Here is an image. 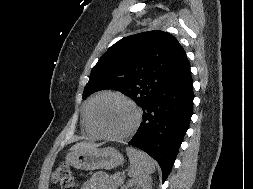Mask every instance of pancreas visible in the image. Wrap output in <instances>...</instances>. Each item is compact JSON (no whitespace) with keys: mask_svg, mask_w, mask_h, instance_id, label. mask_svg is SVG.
Wrapping results in <instances>:
<instances>
[{"mask_svg":"<svg viewBox=\"0 0 253 189\" xmlns=\"http://www.w3.org/2000/svg\"><path fill=\"white\" fill-rule=\"evenodd\" d=\"M124 174L117 172L110 176V181L113 186L118 187L123 183Z\"/></svg>","mask_w":253,"mask_h":189,"instance_id":"1","label":"pancreas"}]
</instances>
